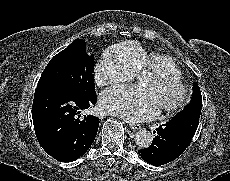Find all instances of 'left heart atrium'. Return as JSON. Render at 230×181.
<instances>
[{"label":"left heart atrium","mask_w":230,"mask_h":181,"mask_svg":"<svg viewBox=\"0 0 230 181\" xmlns=\"http://www.w3.org/2000/svg\"><path fill=\"white\" fill-rule=\"evenodd\" d=\"M139 89L116 88L103 97L102 105L113 114L140 121L153 117V108L147 104Z\"/></svg>","instance_id":"39dd6f15"}]
</instances>
